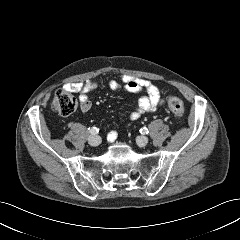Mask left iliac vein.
<instances>
[{
	"label": "left iliac vein",
	"instance_id": "left-iliac-vein-1",
	"mask_svg": "<svg viewBox=\"0 0 240 240\" xmlns=\"http://www.w3.org/2000/svg\"><path fill=\"white\" fill-rule=\"evenodd\" d=\"M137 144L141 147L145 146L148 143V138L146 136H139L136 139Z\"/></svg>",
	"mask_w": 240,
	"mask_h": 240
}]
</instances>
